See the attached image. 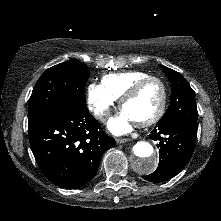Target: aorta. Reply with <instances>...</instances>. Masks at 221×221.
<instances>
[{
  "label": "aorta",
  "instance_id": "762f6f07",
  "mask_svg": "<svg viewBox=\"0 0 221 221\" xmlns=\"http://www.w3.org/2000/svg\"><path fill=\"white\" fill-rule=\"evenodd\" d=\"M133 169L140 174L152 173L158 164V158L152 145L146 141H138L133 146Z\"/></svg>",
  "mask_w": 221,
  "mask_h": 221
}]
</instances>
